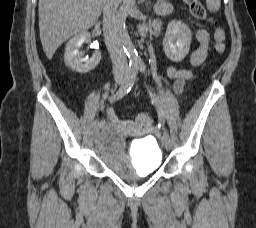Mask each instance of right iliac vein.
<instances>
[{"mask_svg":"<svg viewBox=\"0 0 256 228\" xmlns=\"http://www.w3.org/2000/svg\"><path fill=\"white\" fill-rule=\"evenodd\" d=\"M115 81H116L117 84H123L124 81H125V77L122 76V75H118V76L115 77ZM92 130L93 131H98L99 127L98 126H93Z\"/></svg>","mask_w":256,"mask_h":228,"instance_id":"right-iliac-vein-1","label":"right iliac vein"}]
</instances>
